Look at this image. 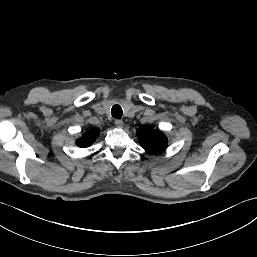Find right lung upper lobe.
Returning <instances> with one entry per match:
<instances>
[{"instance_id":"cb5924a9","label":"right lung upper lobe","mask_w":257,"mask_h":257,"mask_svg":"<svg viewBox=\"0 0 257 257\" xmlns=\"http://www.w3.org/2000/svg\"><path fill=\"white\" fill-rule=\"evenodd\" d=\"M99 135V132L96 130L87 131L81 139H79L76 143L80 147H88L90 146L96 137Z\"/></svg>"}]
</instances>
